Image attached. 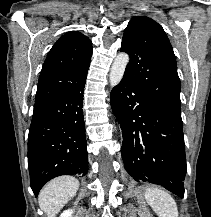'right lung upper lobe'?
I'll return each mask as SVG.
<instances>
[{"label":"right lung upper lobe","instance_id":"right-lung-upper-lobe-1","mask_svg":"<svg viewBox=\"0 0 211 217\" xmlns=\"http://www.w3.org/2000/svg\"><path fill=\"white\" fill-rule=\"evenodd\" d=\"M91 56L92 42L82 33L71 31L58 39L43 64L35 106L74 88L87 76Z\"/></svg>","mask_w":211,"mask_h":217}]
</instances>
